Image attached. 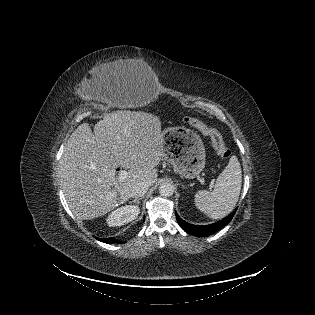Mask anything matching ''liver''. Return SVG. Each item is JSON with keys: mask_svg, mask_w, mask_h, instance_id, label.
I'll list each match as a JSON object with an SVG mask.
<instances>
[{"mask_svg": "<svg viewBox=\"0 0 315 315\" xmlns=\"http://www.w3.org/2000/svg\"><path fill=\"white\" fill-rule=\"evenodd\" d=\"M134 61L120 63L133 68ZM163 157L160 118L143 111L122 110L88 123L70 135L60 160L63 194L78 219L102 216L131 198L135 185L157 182L156 166ZM128 169L124 180L116 168Z\"/></svg>", "mask_w": 315, "mask_h": 315, "instance_id": "obj_1", "label": "liver"}]
</instances>
